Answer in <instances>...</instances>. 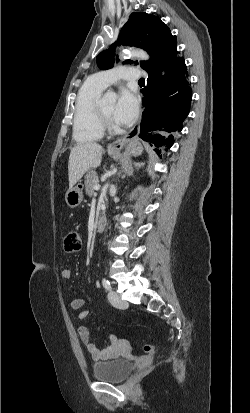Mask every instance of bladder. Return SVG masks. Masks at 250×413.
Returning a JSON list of instances; mask_svg holds the SVG:
<instances>
[{"instance_id": "obj_1", "label": "bladder", "mask_w": 250, "mask_h": 413, "mask_svg": "<svg viewBox=\"0 0 250 413\" xmlns=\"http://www.w3.org/2000/svg\"><path fill=\"white\" fill-rule=\"evenodd\" d=\"M135 368L134 363L127 358H117L106 362L93 364V376L98 381L119 383L129 377Z\"/></svg>"}]
</instances>
